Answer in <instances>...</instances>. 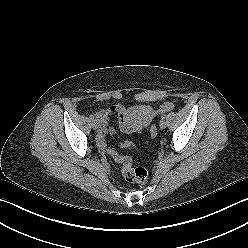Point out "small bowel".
<instances>
[{"label": "small bowel", "mask_w": 248, "mask_h": 248, "mask_svg": "<svg viewBox=\"0 0 248 248\" xmlns=\"http://www.w3.org/2000/svg\"><path fill=\"white\" fill-rule=\"evenodd\" d=\"M173 107L171 103H166L162 106L163 111H168ZM126 109L122 105H112L107 108L101 109L96 113V119L99 124V130L97 133V144L101 150H105L107 147L106 135L113 134L114 127L108 124L109 116L113 113L119 115V127L122 132L130 134L141 131V128L129 125L125 118Z\"/></svg>", "instance_id": "c3829d8e"}]
</instances>
